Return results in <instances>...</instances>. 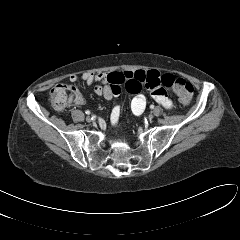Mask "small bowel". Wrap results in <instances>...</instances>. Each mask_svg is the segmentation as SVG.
<instances>
[{
  "mask_svg": "<svg viewBox=\"0 0 240 240\" xmlns=\"http://www.w3.org/2000/svg\"><path fill=\"white\" fill-rule=\"evenodd\" d=\"M81 78L87 84L99 83L94 87V92L106 100H111L113 97L118 96L121 92L120 86L124 84L128 92L134 95L131 101V110L136 116L141 115L146 108V97L141 93L143 88L148 90L151 97L163 107L171 109L173 106L162 83V76L157 70L108 73L85 72L81 75ZM69 80L76 82L79 80V76L71 74ZM71 101L75 105H80L83 103V97L77 91ZM120 115L121 107L116 105L111 112L112 124L116 125L118 123Z\"/></svg>",
  "mask_w": 240,
  "mask_h": 240,
  "instance_id": "c3829d8e",
  "label": "small bowel"
}]
</instances>
